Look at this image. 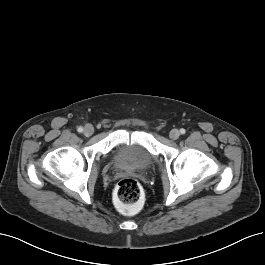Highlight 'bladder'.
I'll return each instance as SVG.
<instances>
[{
	"label": "bladder",
	"mask_w": 265,
	"mask_h": 265,
	"mask_svg": "<svg viewBox=\"0 0 265 265\" xmlns=\"http://www.w3.org/2000/svg\"><path fill=\"white\" fill-rule=\"evenodd\" d=\"M113 161L119 167L140 170L152 164L153 155L144 145L123 144L115 149Z\"/></svg>",
	"instance_id": "31cf9c89"
}]
</instances>
